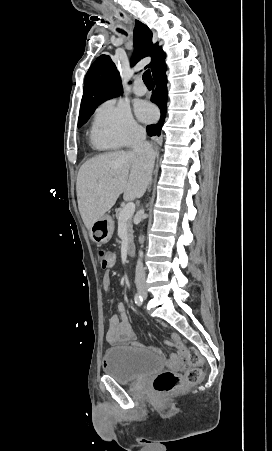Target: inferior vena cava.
Here are the masks:
<instances>
[{
  "label": "inferior vena cava",
  "mask_w": 272,
  "mask_h": 451,
  "mask_svg": "<svg viewBox=\"0 0 272 451\" xmlns=\"http://www.w3.org/2000/svg\"><path fill=\"white\" fill-rule=\"evenodd\" d=\"M146 132L141 130L138 132L137 136L132 140L133 154L138 156L139 160L143 162L146 170H148V180L151 182L152 170L154 168L155 152L152 150L151 146L145 142ZM142 253V251H139ZM135 283L136 287H144L146 285V275L142 263L141 257H139L135 269Z\"/></svg>",
  "instance_id": "obj_1"
}]
</instances>
